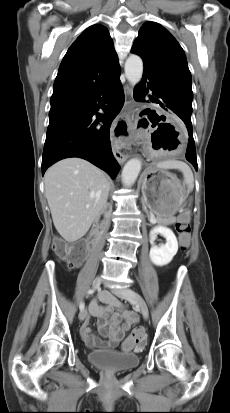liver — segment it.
I'll list each match as a JSON object with an SVG mask.
<instances>
[{"instance_id": "6515ba94", "label": "liver", "mask_w": 230, "mask_h": 413, "mask_svg": "<svg viewBox=\"0 0 230 413\" xmlns=\"http://www.w3.org/2000/svg\"><path fill=\"white\" fill-rule=\"evenodd\" d=\"M44 184L54 226L67 242L87 233L106 206L110 188L106 174L81 158H67L51 166Z\"/></svg>"}]
</instances>
